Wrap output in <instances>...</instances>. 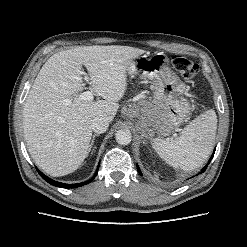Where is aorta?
<instances>
[{
    "label": "aorta",
    "mask_w": 247,
    "mask_h": 247,
    "mask_svg": "<svg viewBox=\"0 0 247 247\" xmlns=\"http://www.w3.org/2000/svg\"><path fill=\"white\" fill-rule=\"evenodd\" d=\"M115 138L118 144L128 145L132 140V134L127 129H121L116 132Z\"/></svg>",
    "instance_id": "obj_1"
}]
</instances>
